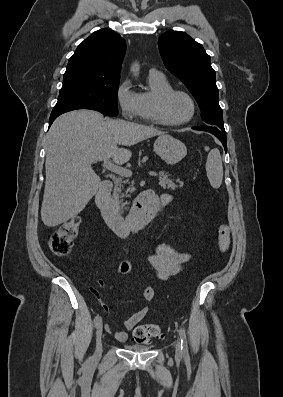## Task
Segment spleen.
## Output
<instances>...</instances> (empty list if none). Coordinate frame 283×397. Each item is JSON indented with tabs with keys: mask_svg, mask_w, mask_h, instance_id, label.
<instances>
[{
	"mask_svg": "<svg viewBox=\"0 0 283 397\" xmlns=\"http://www.w3.org/2000/svg\"><path fill=\"white\" fill-rule=\"evenodd\" d=\"M205 151L209 152L206 162L207 177L213 188H219L223 180V165L221 155L218 149H212L205 146Z\"/></svg>",
	"mask_w": 283,
	"mask_h": 397,
	"instance_id": "obj_1",
	"label": "spleen"
}]
</instances>
